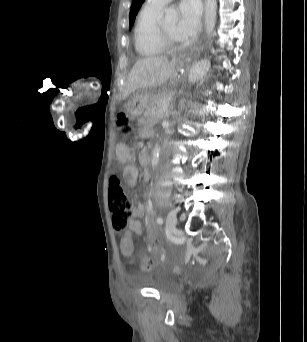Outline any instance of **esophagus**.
Masks as SVG:
<instances>
[{"mask_svg": "<svg viewBox=\"0 0 307 342\" xmlns=\"http://www.w3.org/2000/svg\"><path fill=\"white\" fill-rule=\"evenodd\" d=\"M200 55V49L194 48L188 55L185 56L184 60L186 62H194L198 59Z\"/></svg>", "mask_w": 307, "mask_h": 342, "instance_id": "esophagus-1", "label": "esophagus"}]
</instances>
